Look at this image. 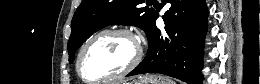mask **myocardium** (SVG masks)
Wrapping results in <instances>:
<instances>
[{
    "label": "myocardium",
    "mask_w": 260,
    "mask_h": 84,
    "mask_svg": "<svg viewBox=\"0 0 260 84\" xmlns=\"http://www.w3.org/2000/svg\"><path fill=\"white\" fill-rule=\"evenodd\" d=\"M106 34L123 35V36L127 37L128 39H130L133 42V44L135 45V49H136L135 55H134L133 59L131 60V62L122 71H120L116 74H113L111 76H108L106 78L100 79V80H95V81L88 80L83 76V74L81 72V64H82L83 56H84L86 50L88 49V47L97 38H99L100 36L106 35ZM143 55H144L143 45L141 43L139 36L133 30H131L127 27H120V26L107 27V28H103V29L97 31L96 33H94L84 43V45L82 46V48L78 54V57H77L76 71H77L78 76L86 83L103 84V83L111 82L113 80H117V79L122 78V77L126 76L127 74H129L141 63V61L143 59Z\"/></svg>",
    "instance_id": "obj_1"
}]
</instances>
